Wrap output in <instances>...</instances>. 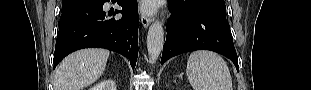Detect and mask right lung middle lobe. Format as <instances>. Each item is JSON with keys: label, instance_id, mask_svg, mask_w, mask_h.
<instances>
[{"label": "right lung middle lobe", "instance_id": "right-lung-middle-lobe-1", "mask_svg": "<svg viewBox=\"0 0 311 90\" xmlns=\"http://www.w3.org/2000/svg\"><path fill=\"white\" fill-rule=\"evenodd\" d=\"M92 0H63L62 3V12L69 10L77 5H80L82 3H86Z\"/></svg>", "mask_w": 311, "mask_h": 90}]
</instances>
